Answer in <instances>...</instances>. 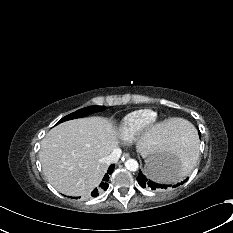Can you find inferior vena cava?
Returning a JSON list of instances; mask_svg holds the SVG:
<instances>
[{"label": "inferior vena cava", "mask_w": 233, "mask_h": 233, "mask_svg": "<svg viewBox=\"0 0 233 233\" xmlns=\"http://www.w3.org/2000/svg\"><path fill=\"white\" fill-rule=\"evenodd\" d=\"M121 149L115 148L111 154L106 158V163L111 164V163H117L120 156H121Z\"/></svg>", "instance_id": "1"}]
</instances>
